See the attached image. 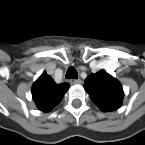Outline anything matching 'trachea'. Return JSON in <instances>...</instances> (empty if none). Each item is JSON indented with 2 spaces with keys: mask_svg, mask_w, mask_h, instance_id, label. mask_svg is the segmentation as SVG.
<instances>
[{
  "mask_svg": "<svg viewBox=\"0 0 145 145\" xmlns=\"http://www.w3.org/2000/svg\"><path fill=\"white\" fill-rule=\"evenodd\" d=\"M66 78H73L77 79L78 78V73L74 67H69L67 72H66Z\"/></svg>",
  "mask_w": 145,
  "mask_h": 145,
  "instance_id": "3493384b",
  "label": "trachea"
}]
</instances>
